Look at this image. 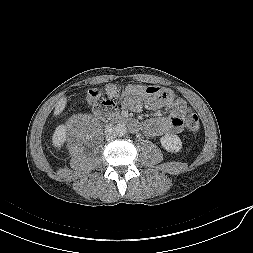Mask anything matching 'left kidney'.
<instances>
[{
    "label": "left kidney",
    "instance_id": "1",
    "mask_svg": "<svg viewBox=\"0 0 253 253\" xmlns=\"http://www.w3.org/2000/svg\"><path fill=\"white\" fill-rule=\"evenodd\" d=\"M161 145L168 152H179L182 148L181 139L175 134H166L160 139Z\"/></svg>",
    "mask_w": 253,
    "mask_h": 253
}]
</instances>
